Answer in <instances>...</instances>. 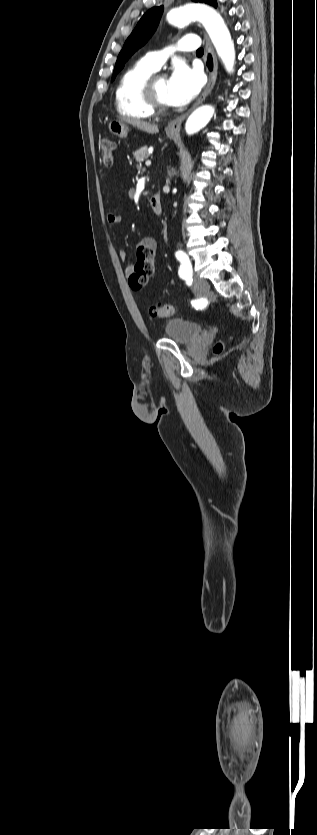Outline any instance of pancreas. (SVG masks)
Returning a JSON list of instances; mask_svg holds the SVG:
<instances>
[{
	"label": "pancreas",
	"instance_id": "obj_1",
	"mask_svg": "<svg viewBox=\"0 0 317 835\" xmlns=\"http://www.w3.org/2000/svg\"><path fill=\"white\" fill-rule=\"evenodd\" d=\"M133 157L136 160V162H138V163L143 162L145 159H147L149 157L148 147L143 146L139 150L133 152Z\"/></svg>",
	"mask_w": 317,
	"mask_h": 835
}]
</instances>
